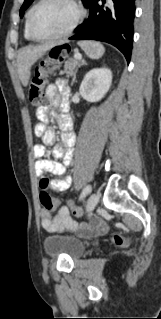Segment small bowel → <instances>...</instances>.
Returning <instances> with one entry per match:
<instances>
[{
  "mask_svg": "<svg viewBox=\"0 0 161 319\" xmlns=\"http://www.w3.org/2000/svg\"><path fill=\"white\" fill-rule=\"evenodd\" d=\"M70 93L71 90L68 83L62 78L57 79L46 88V95L51 106H43L36 111L39 122L34 127V133L36 136H41L42 143L36 144L33 147V155L36 159L35 172L38 176L44 173H52L58 176L52 182V190L55 192L67 190L71 186L72 177L66 173L65 165L45 158L46 146L54 145L56 142L55 130L47 127L46 124L52 117L57 119L62 130V145H54L52 154L55 158H63L65 163H70L73 158V147L75 145L72 122L67 115ZM56 108H60L61 113ZM72 212L77 215L81 214V210L75 207L72 202L61 206L54 215L44 209L41 214V224L49 232H57L65 228L75 231L83 230L85 232L101 231L104 229L100 220L80 225L76 224L71 217Z\"/></svg>",
  "mask_w": 161,
  "mask_h": 319,
  "instance_id": "obj_1",
  "label": "small bowel"
}]
</instances>
